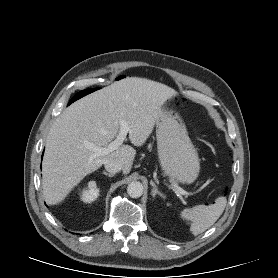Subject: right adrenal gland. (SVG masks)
<instances>
[{"mask_svg":"<svg viewBox=\"0 0 278 278\" xmlns=\"http://www.w3.org/2000/svg\"><path fill=\"white\" fill-rule=\"evenodd\" d=\"M102 174L108 176V177H113L115 174H110V173H107L105 171L102 172Z\"/></svg>","mask_w":278,"mask_h":278,"instance_id":"1","label":"right adrenal gland"}]
</instances>
